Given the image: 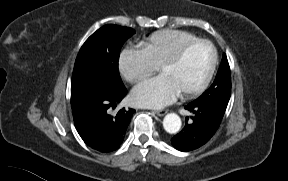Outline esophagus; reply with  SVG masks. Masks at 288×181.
<instances>
[{"instance_id":"1","label":"esophagus","mask_w":288,"mask_h":181,"mask_svg":"<svg viewBox=\"0 0 288 181\" xmlns=\"http://www.w3.org/2000/svg\"><path fill=\"white\" fill-rule=\"evenodd\" d=\"M154 113L158 116H164L167 113V110H156Z\"/></svg>"}]
</instances>
